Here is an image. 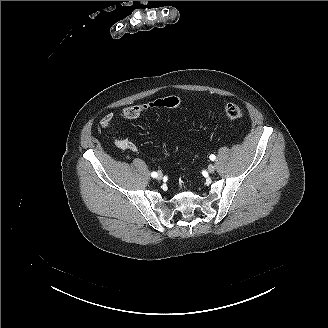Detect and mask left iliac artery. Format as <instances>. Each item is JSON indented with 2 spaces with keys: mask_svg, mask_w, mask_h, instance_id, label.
<instances>
[{
  "mask_svg": "<svg viewBox=\"0 0 328 328\" xmlns=\"http://www.w3.org/2000/svg\"><path fill=\"white\" fill-rule=\"evenodd\" d=\"M210 159L212 160V161H214L215 159H216V157H215V155H210Z\"/></svg>",
  "mask_w": 328,
  "mask_h": 328,
  "instance_id": "obj_1",
  "label": "left iliac artery"
}]
</instances>
